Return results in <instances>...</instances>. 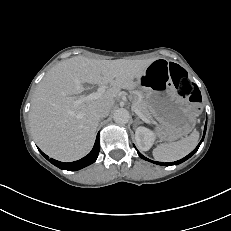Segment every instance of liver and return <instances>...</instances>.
Listing matches in <instances>:
<instances>
[{"instance_id": "1", "label": "liver", "mask_w": 231, "mask_h": 231, "mask_svg": "<svg viewBox=\"0 0 231 231\" xmlns=\"http://www.w3.org/2000/svg\"><path fill=\"white\" fill-rule=\"evenodd\" d=\"M158 58L96 60L76 56L51 68L37 86L29 121L34 140L48 156L63 162L84 157L91 150L100 106L112 108L121 89L134 90L146 68ZM136 79V81H134ZM83 83L110 85L99 98L84 96Z\"/></svg>"}]
</instances>
